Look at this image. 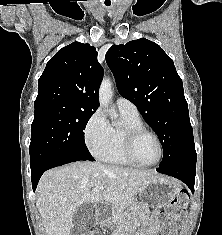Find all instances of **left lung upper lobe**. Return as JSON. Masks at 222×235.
<instances>
[{
  "mask_svg": "<svg viewBox=\"0 0 222 235\" xmlns=\"http://www.w3.org/2000/svg\"><path fill=\"white\" fill-rule=\"evenodd\" d=\"M105 57L121 96L136 105L160 139L159 166L196 161L188 104L173 60L145 38L113 45Z\"/></svg>",
  "mask_w": 222,
  "mask_h": 235,
  "instance_id": "1",
  "label": "left lung upper lobe"
}]
</instances>
